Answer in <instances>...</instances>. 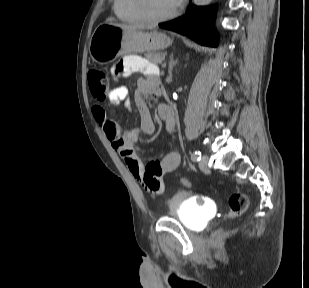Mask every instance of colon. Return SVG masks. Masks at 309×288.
Here are the masks:
<instances>
[{
  "mask_svg": "<svg viewBox=\"0 0 309 288\" xmlns=\"http://www.w3.org/2000/svg\"><path fill=\"white\" fill-rule=\"evenodd\" d=\"M88 85L92 96L103 101L108 96L109 86L105 72L98 68L90 69L87 75ZM181 184L185 187L190 186L191 182L188 178H181ZM230 216H238L246 211L248 207V198L245 194L235 192L232 193L228 200Z\"/></svg>",
  "mask_w": 309,
  "mask_h": 288,
  "instance_id": "obj_1",
  "label": "colon"
}]
</instances>
